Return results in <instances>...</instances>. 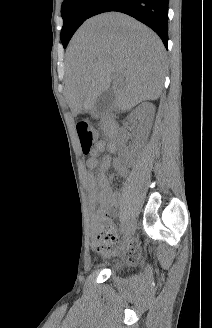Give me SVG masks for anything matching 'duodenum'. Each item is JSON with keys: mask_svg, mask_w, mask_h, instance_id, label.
<instances>
[{"mask_svg": "<svg viewBox=\"0 0 212 328\" xmlns=\"http://www.w3.org/2000/svg\"><path fill=\"white\" fill-rule=\"evenodd\" d=\"M104 128L111 141L114 143L118 136V124L112 114H106L104 116Z\"/></svg>", "mask_w": 212, "mask_h": 328, "instance_id": "410a0bca", "label": "duodenum"}]
</instances>
